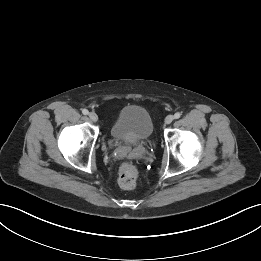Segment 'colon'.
Wrapping results in <instances>:
<instances>
[{
  "mask_svg": "<svg viewBox=\"0 0 261 261\" xmlns=\"http://www.w3.org/2000/svg\"><path fill=\"white\" fill-rule=\"evenodd\" d=\"M138 179L137 167L130 163H123L118 172V183L121 187L125 189H132L135 187Z\"/></svg>",
  "mask_w": 261,
  "mask_h": 261,
  "instance_id": "5ec220e1",
  "label": "colon"
}]
</instances>
